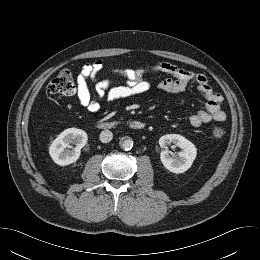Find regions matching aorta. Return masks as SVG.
Instances as JSON below:
<instances>
[{"label": "aorta", "instance_id": "aorta-1", "mask_svg": "<svg viewBox=\"0 0 260 260\" xmlns=\"http://www.w3.org/2000/svg\"><path fill=\"white\" fill-rule=\"evenodd\" d=\"M119 145L124 150H130L133 147V140L131 138H122Z\"/></svg>", "mask_w": 260, "mask_h": 260}]
</instances>
